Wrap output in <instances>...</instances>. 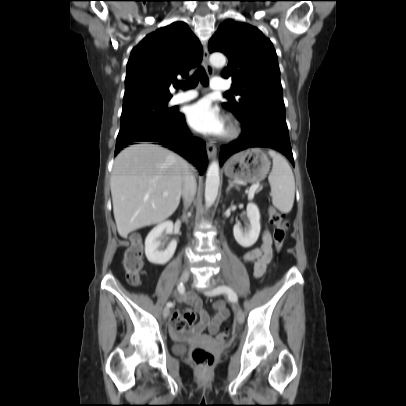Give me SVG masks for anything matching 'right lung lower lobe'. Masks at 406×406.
<instances>
[{"label": "right lung lower lobe", "mask_w": 406, "mask_h": 406, "mask_svg": "<svg viewBox=\"0 0 406 406\" xmlns=\"http://www.w3.org/2000/svg\"><path fill=\"white\" fill-rule=\"evenodd\" d=\"M135 142H154L162 145L197 166L199 172L206 169V145L204 141L190 135L182 113L177 112L171 123L160 128L117 137L115 154Z\"/></svg>", "instance_id": "1"}]
</instances>
